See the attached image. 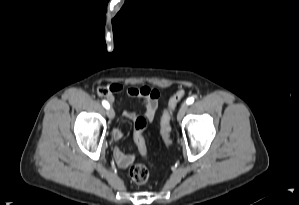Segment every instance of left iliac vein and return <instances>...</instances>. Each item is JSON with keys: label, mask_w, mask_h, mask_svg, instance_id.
<instances>
[{"label": "left iliac vein", "mask_w": 299, "mask_h": 205, "mask_svg": "<svg viewBox=\"0 0 299 205\" xmlns=\"http://www.w3.org/2000/svg\"><path fill=\"white\" fill-rule=\"evenodd\" d=\"M187 108H188L187 103H183V104L181 105V107H180V109H179V112H178V114H177V120H178V121H180V120L182 119V117H183L184 113L186 112Z\"/></svg>", "instance_id": "1"}]
</instances>
